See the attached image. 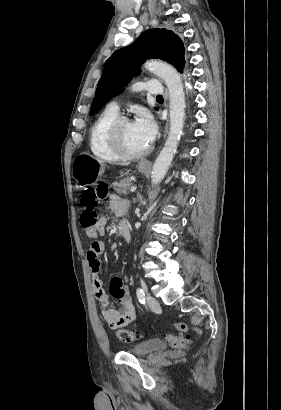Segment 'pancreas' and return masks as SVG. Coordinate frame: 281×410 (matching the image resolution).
<instances>
[{"mask_svg":"<svg viewBox=\"0 0 281 410\" xmlns=\"http://www.w3.org/2000/svg\"><path fill=\"white\" fill-rule=\"evenodd\" d=\"M114 190L118 194H124L126 195L128 193V189L132 186V182L129 178H125L121 180L119 183L115 182L113 183Z\"/></svg>","mask_w":281,"mask_h":410,"instance_id":"1","label":"pancreas"}]
</instances>
